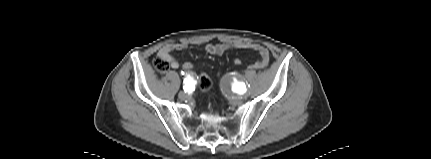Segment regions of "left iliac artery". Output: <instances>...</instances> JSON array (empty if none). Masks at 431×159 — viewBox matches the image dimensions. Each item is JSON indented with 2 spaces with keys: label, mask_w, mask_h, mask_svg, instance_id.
I'll use <instances>...</instances> for the list:
<instances>
[{
  "label": "left iliac artery",
  "mask_w": 431,
  "mask_h": 159,
  "mask_svg": "<svg viewBox=\"0 0 431 159\" xmlns=\"http://www.w3.org/2000/svg\"><path fill=\"white\" fill-rule=\"evenodd\" d=\"M236 88H237V92L240 94H243L244 92H246V86L244 83H238L236 85Z\"/></svg>",
  "instance_id": "left-iliac-artery-1"
}]
</instances>
